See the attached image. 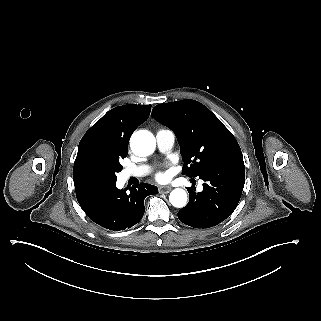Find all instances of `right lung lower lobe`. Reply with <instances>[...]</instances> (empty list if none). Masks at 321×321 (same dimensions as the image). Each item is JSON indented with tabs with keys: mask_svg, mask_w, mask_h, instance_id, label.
Here are the masks:
<instances>
[{
	"mask_svg": "<svg viewBox=\"0 0 321 321\" xmlns=\"http://www.w3.org/2000/svg\"><path fill=\"white\" fill-rule=\"evenodd\" d=\"M77 200L87 216L98 225L120 231L137 224L144 215V199L158 193L156 186L142 183L130 192L118 190L116 180L83 177L74 180Z\"/></svg>",
	"mask_w": 321,
	"mask_h": 321,
	"instance_id": "98d812e1",
	"label": "right lung lower lobe"
}]
</instances>
